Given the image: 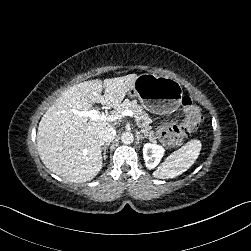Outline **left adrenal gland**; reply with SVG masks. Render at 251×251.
I'll list each match as a JSON object with an SVG mask.
<instances>
[{
	"mask_svg": "<svg viewBox=\"0 0 251 251\" xmlns=\"http://www.w3.org/2000/svg\"><path fill=\"white\" fill-rule=\"evenodd\" d=\"M136 138H137V141L139 142L140 140H142L144 137L142 134H140L139 131H136Z\"/></svg>",
	"mask_w": 251,
	"mask_h": 251,
	"instance_id": "1",
	"label": "left adrenal gland"
}]
</instances>
